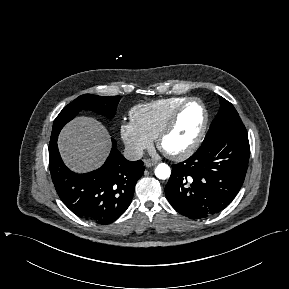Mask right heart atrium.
Instances as JSON below:
<instances>
[{
    "label": "right heart atrium",
    "mask_w": 289,
    "mask_h": 289,
    "mask_svg": "<svg viewBox=\"0 0 289 289\" xmlns=\"http://www.w3.org/2000/svg\"><path fill=\"white\" fill-rule=\"evenodd\" d=\"M119 131L126 148L134 156L142 155L145 150L152 146L153 139L132 120L123 122Z\"/></svg>",
    "instance_id": "right-heart-atrium-1"
}]
</instances>
